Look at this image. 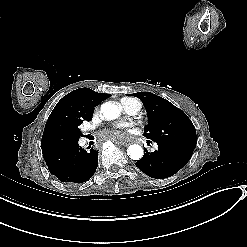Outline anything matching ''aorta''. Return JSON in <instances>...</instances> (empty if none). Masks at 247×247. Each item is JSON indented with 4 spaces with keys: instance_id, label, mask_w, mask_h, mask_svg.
Listing matches in <instances>:
<instances>
[{
    "instance_id": "1",
    "label": "aorta",
    "mask_w": 247,
    "mask_h": 247,
    "mask_svg": "<svg viewBox=\"0 0 247 247\" xmlns=\"http://www.w3.org/2000/svg\"><path fill=\"white\" fill-rule=\"evenodd\" d=\"M101 114L107 120H113L119 117L120 109L119 107L112 102H105L101 105ZM127 154L132 160H140L143 157V149L140 145L133 144L130 145L127 149Z\"/></svg>"
}]
</instances>
